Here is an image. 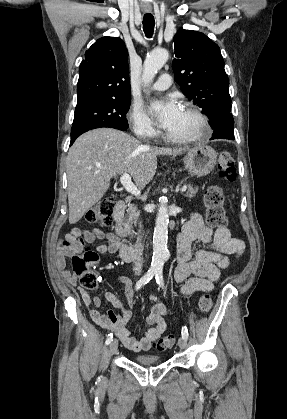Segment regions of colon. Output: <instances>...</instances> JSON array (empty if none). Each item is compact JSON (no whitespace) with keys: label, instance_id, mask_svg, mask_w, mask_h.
I'll return each instance as SVG.
<instances>
[{"label":"colon","instance_id":"colon-1","mask_svg":"<svg viewBox=\"0 0 287 419\" xmlns=\"http://www.w3.org/2000/svg\"><path fill=\"white\" fill-rule=\"evenodd\" d=\"M217 169L219 176L226 181L236 179L234 159L229 151H222L218 156ZM204 203L208 222L214 227H224L227 224L224 210V194L217 186H210L204 194ZM115 202L112 198H105L96 204L87 214V221L100 225H110L114 219ZM62 248L70 253L73 273L80 278L81 285L89 290L97 287L96 275L93 272L97 262L96 252L87 248L77 238H65ZM212 307V299L209 294L201 296L198 308L200 312L207 313ZM175 342V336L170 334L158 338L153 346L159 351L170 349Z\"/></svg>","mask_w":287,"mask_h":419}]
</instances>
